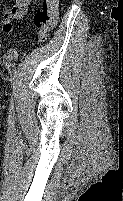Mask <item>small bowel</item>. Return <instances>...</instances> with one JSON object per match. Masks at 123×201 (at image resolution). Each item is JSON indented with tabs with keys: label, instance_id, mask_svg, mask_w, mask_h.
Returning <instances> with one entry per match:
<instances>
[{
	"label": "small bowel",
	"instance_id": "obj_1",
	"mask_svg": "<svg viewBox=\"0 0 123 201\" xmlns=\"http://www.w3.org/2000/svg\"><path fill=\"white\" fill-rule=\"evenodd\" d=\"M32 5V0H16L13 7L1 13V28L5 33H9L14 28V21L21 19L28 12Z\"/></svg>",
	"mask_w": 123,
	"mask_h": 201
}]
</instances>
